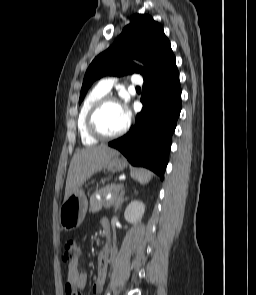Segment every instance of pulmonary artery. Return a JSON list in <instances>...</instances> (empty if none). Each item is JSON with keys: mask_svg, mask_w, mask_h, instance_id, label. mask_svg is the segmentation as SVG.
<instances>
[{"mask_svg": "<svg viewBox=\"0 0 256 295\" xmlns=\"http://www.w3.org/2000/svg\"><path fill=\"white\" fill-rule=\"evenodd\" d=\"M118 79L114 78V77H108V78H104L102 80L99 81L97 87L104 93H109L112 89V87L114 86L115 83H117ZM131 83L137 86L142 85L143 83V79L139 74L134 73L131 76Z\"/></svg>", "mask_w": 256, "mask_h": 295, "instance_id": "1", "label": "pulmonary artery"}]
</instances>
